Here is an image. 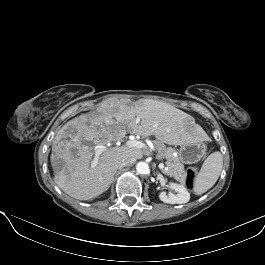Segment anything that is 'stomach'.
I'll return each mask as SVG.
<instances>
[{"label": "stomach", "mask_w": 265, "mask_h": 265, "mask_svg": "<svg viewBox=\"0 0 265 265\" xmlns=\"http://www.w3.org/2000/svg\"><path fill=\"white\" fill-rule=\"evenodd\" d=\"M203 144L194 137L192 141L186 142L180 146L179 159L182 163L193 164L198 162L204 155Z\"/></svg>", "instance_id": "obj_1"}]
</instances>
